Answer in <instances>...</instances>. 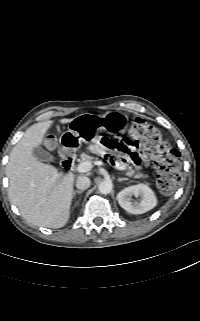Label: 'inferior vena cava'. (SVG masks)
I'll return each mask as SVG.
<instances>
[{
	"mask_svg": "<svg viewBox=\"0 0 200 321\" xmlns=\"http://www.w3.org/2000/svg\"><path fill=\"white\" fill-rule=\"evenodd\" d=\"M90 179L86 176H79L76 180V187L80 190H85L90 187Z\"/></svg>",
	"mask_w": 200,
	"mask_h": 321,
	"instance_id": "obj_1",
	"label": "inferior vena cava"
}]
</instances>
